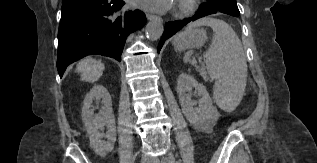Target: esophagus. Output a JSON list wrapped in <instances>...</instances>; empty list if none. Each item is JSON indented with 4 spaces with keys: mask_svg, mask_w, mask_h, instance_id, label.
Returning <instances> with one entry per match:
<instances>
[{
    "mask_svg": "<svg viewBox=\"0 0 317 163\" xmlns=\"http://www.w3.org/2000/svg\"><path fill=\"white\" fill-rule=\"evenodd\" d=\"M146 17L148 20H156V21H159V22H162V18H160L159 16H156L154 14H150V13H147L146 14Z\"/></svg>",
    "mask_w": 317,
    "mask_h": 163,
    "instance_id": "34e87169",
    "label": "esophagus"
}]
</instances>
